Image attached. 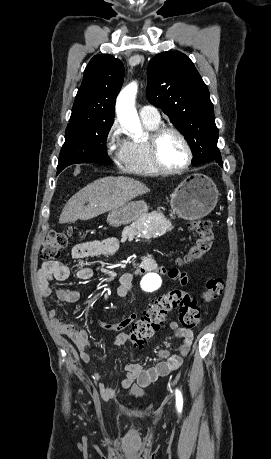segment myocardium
Segmentation results:
<instances>
[{
    "mask_svg": "<svg viewBox=\"0 0 271 459\" xmlns=\"http://www.w3.org/2000/svg\"><path fill=\"white\" fill-rule=\"evenodd\" d=\"M167 133H175L178 136H180L187 147L188 158L186 162L180 166H175V167L169 166L165 164L162 160V157L160 154V142L163 136ZM148 140H149V147H150V154H151L152 161L155 164V166L158 168L159 171L168 173V174H177V173L187 170L193 164V161L195 158L193 146L188 136L180 128L173 126V125L160 126L156 128L150 134Z\"/></svg>",
    "mask_w": 271,
    "mask_h": 459,
    "instance_id": "1",
    "label": "myocardium"
}]
</instances>
